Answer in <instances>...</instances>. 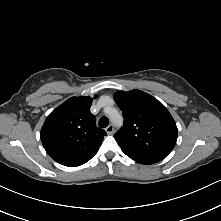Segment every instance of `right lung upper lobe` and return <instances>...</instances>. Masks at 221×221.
Segmentation results:
<instances>
[{"label":"right lung upper lobe","mask_w":221,"mask_h":221,"mask_svg":"<svg viewBox=\"0 0 221 221\" xmlns=\"http://www.w3.org/2000/svg\"><path fill=\"white\" fill-rule=\"evenodd\" d=\"M91 97H72L46 118L40 137L44 149L56 162L76 167L95 156L106 132L95 126Z\"/></svg>","instance_id":"cb5924a9"}]
</instances>
